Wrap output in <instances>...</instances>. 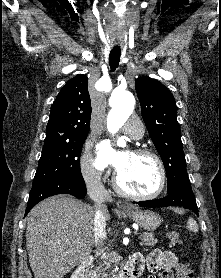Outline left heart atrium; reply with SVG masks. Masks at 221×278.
<instances>
[{"instance_id": "39dd6f15", "label": "left heart atrium", "mask_w": 221, "mask_h": 278, "mask_svg": "<svg viewBox=\"0 0 221 278\" xmlns=\"http://www.w3.org/2000/svg\"><path fill=\"white\" fill-rule=\"evenodd\" d=\"M126 154V152H115L108 142H103L98 147V163L100 166L110 164L119 169L126 158Z\"/></svg>"}]
</instances>
